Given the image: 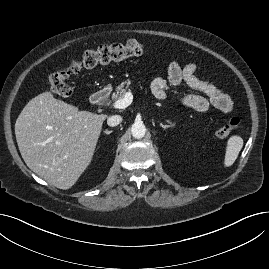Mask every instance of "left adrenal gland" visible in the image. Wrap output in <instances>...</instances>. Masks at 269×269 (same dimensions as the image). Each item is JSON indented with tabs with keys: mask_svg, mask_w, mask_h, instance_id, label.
I'll return each mask as SVG.
<instances>
[{
	"mask_svg": "<svg viewBox=\"0 0 269 269\" xmlns=\"http://www.w3.org/2000/svg\"><path fill=\"white\" fill-rule=\"evenodd\" d=\"M160 126H161L163 129H167V128L173 127L174 125H173V124H170V125H164V124L160 123Z\"/></svg>",
	"mask_w": 269,
	"mask_h": 269,
	"instance_id": "obj_1",
	"label": "left adrenal gland"
}]
</instances>
